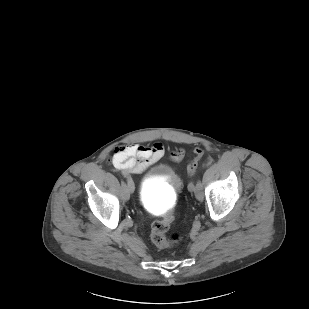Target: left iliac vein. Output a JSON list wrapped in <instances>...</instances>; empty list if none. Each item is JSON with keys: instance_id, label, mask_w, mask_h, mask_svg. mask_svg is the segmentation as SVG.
Wrapping results in <instances>:
<instances>
[{"instance_id": "left-iliac-vein-1", "label": "left iliac vein", "mask_w": 309, "mask_h": 309, "mask_svg": "<svg viewBox=\"0 0 309 309\" xmlns=\"http://www.w3.org/2000/svg\"><path fill=\"white\" fill-rule=\"evenodd\" d=\"M188 189H189L190 192H192V191L195 192V197H196L197 200L201 201L203 199V192H202L201 188H199V189L195 188V190H194L193 185L189 184Z\"/></svg>"}]
</instances>
